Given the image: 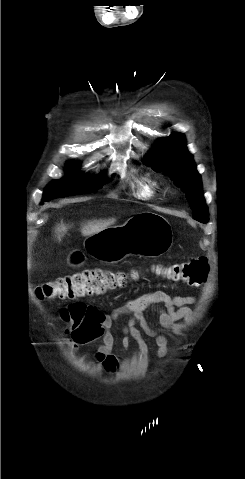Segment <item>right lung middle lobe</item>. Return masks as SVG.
<instances>
[{
	"mask_svg": "<svg viewBox=\"0 0 245 479\" xmlns=\"http://www.w3.org/2000/svg\"><path fill=\"white\" fill-rule=\"evenodd\" d=\"M69 168H76V163H69ZM105 184L101 177L88 178L73 174L60 180L52 181L45 189L43 200L50 201L57 197L83 194L96 191Z\"/></svg>",
	"mask_w": 245,
	"mask_h": 479,
	"instance_id": "right-lung-middle-lobe-1",
	"label": "right lung middle lobe"
}]
</instances>
